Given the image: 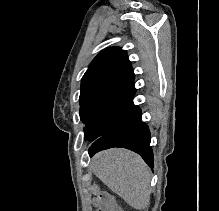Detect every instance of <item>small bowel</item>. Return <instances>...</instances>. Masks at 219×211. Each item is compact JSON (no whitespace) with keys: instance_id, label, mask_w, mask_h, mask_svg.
Segmentation results:
<instances>
[{"instance_id":"small-bowel-1","label":"small bowel","mask_w":219,"mask_h":211,"mask_svg":"<svg viewBox=\"0 0 219 211\" xmlns=\"http://www.w3.org/2000/svg\"><path fill=\"white\" fill-rule=\"evenodd\" d=\"M98 210L96 211H122L121 208L116 204L115 200L108 193H103L102 197L98 202Z\"/></svg>"}]
</instances>
